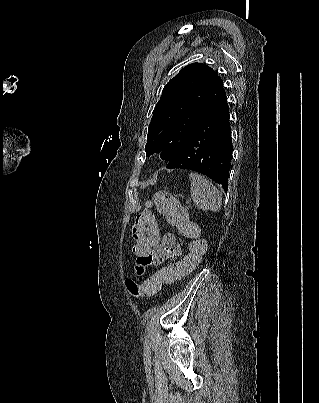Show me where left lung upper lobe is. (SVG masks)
<instances>
[{"mask_svg": "<svg viewBox=\"0 0 319 403\" xmlns=\"http://www.w3.org/2000/svg\"><path fill=\"white\" fill-rule=\"evenodd\" d=\"M223 90V81L206 64L181 69L163 88L148 128L147 156L161 153L170 161L185 145L206 109Z\"/></svg>", "mask_w": 319, "mask_h": 403, "instance_id": "5c2ea615", "label": "left lung upper lobe"}]
</instances>
